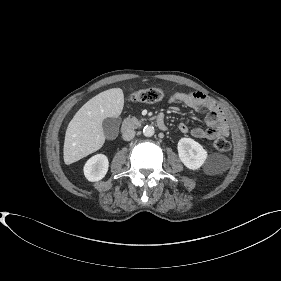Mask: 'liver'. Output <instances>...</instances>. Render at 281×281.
Returning a JSON list of instances; mask_svg holds the SVG:
<instances>
[{
	"instance_id": "6515ba94",
	"label": "liver",
	"mask_w": 281,
	"mask_h": 281,
	"mask_svg": "<svg viewBox=\"0 0 281 281\" xmlns=\"http://www.w3.org/2000/svg\"><path fill=\"white\" fill-rule=\"evenodd\" d=\"M123 107L121 88L103 91L87 101L68 124L63 148L65 164H72L99 150L105 142L104 119L119 117Z\"/></svg>"
}]
</instances>
